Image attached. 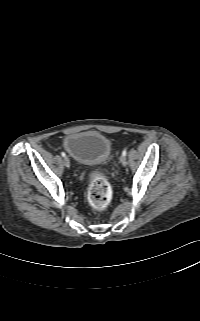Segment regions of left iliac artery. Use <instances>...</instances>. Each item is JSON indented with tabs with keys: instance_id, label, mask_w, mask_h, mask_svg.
I'll list each match as a JSON object with an SVG mask.
<instances>
[{
	"instance_id": "obj_1",
	"label": "left iliac artery",
	"mask_w": 200,
	"mask_h": 321,
	"mask_svg": "<svg viewBox=\"0 0 200 321\" xmlns=\"http://www.w3.org/2000/svg\"><path fill=\"white\" fill-rule=\"evenodd\" d=\"M126 154H127V151H126V150H123L122 155H123V156H126Z\"/></svg>"
}]
</instances>
